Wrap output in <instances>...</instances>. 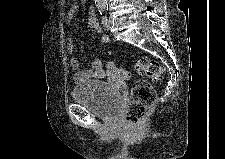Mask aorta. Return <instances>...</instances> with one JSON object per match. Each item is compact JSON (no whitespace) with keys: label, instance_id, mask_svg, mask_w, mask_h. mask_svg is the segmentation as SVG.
I'll list each match as a JSON object with an SVG mask.
<instances>
[{"label":"aorta","instance_id":"1","mask_svg":"<svg viewBox=\"0 0 225 159\" xmlns=\"http://www.w3.org/2000/svg\"><path fill=\"white\" fill-rule=\"evenodd\" d=\"M95 4L97 7H106L107 0H95Z\"/></svg>","mask_w":225,"mask_h":159}]
</instances>
